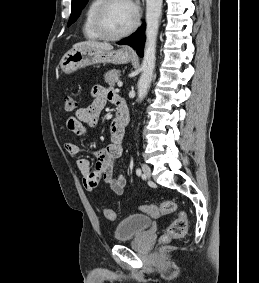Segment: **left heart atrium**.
I'll return each instance as SVG.
<instances>
[{"instance_id":"obj_1","label":"left heart atrium","mask_w":259,"mask_h":283,"mask_svg":"<svg viewBox=\"0 0 259 283\" xmlns=\"http://www.w3.org/2000/svg\"><path fill=\"white\" fill-rule=\"evenodd\" d=\"M129 1V3L132 5V7L134 6V4L132 3V1L131 0H128Z\"/></svg>"}]
</instances>
